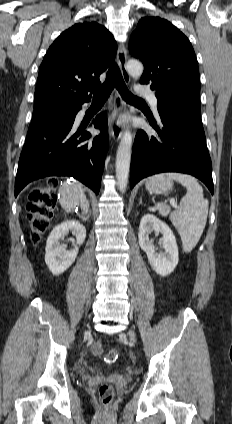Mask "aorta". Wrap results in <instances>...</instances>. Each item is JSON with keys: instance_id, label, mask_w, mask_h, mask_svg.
<instances>
[{"instance_id": "obj_1", "label": "aorta", "mask_w": 232, "mask_h": 424, "mask_svg": "<svg viewBox=\"0 0 232 424\" xmlns=\"http://www.w3.org/2000/svg\"><path fill=\"white\" fill-rule=\"evenodd\" d=\"M126 69L134 78H139L143 73V65L137 60H129ZM132 152V135L127 130L120 141L116 155V178L118 189L125 192L128 183Z\"/></svg>"}]
</instances>
